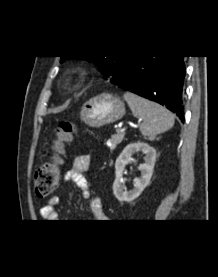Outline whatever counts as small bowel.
I'll return each instance as SVG.
<instances>
[{"label":"small bowel","mask_w":218,"mask_h":277,"mask_svg":"<svg viewBox=\"0 0 218 277\" xmlns=\"http://www.w3.org/2000/svg\"><path fill=\"white\" fill-rule=\"evenodd\" d=\"M91 167V158L88 155L76 156L73 161L71 168L65 173V181H73L76 186L81 190L84 199H91L90 210L91 217L94 220H102L105 218L102 202L98 197H92V192L89 184L84 176V173L89 171ZM59 204V197L54 196L49 201L48 204L40 209V214L44 220L52 222L59 218L56 211V207Z\"/></svg>","instance_id":"c3829d8e"}]
</instances>
